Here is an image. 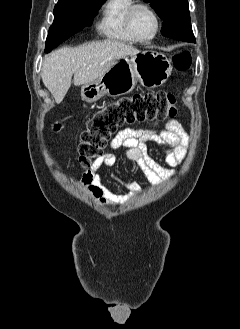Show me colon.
<instances>
[{"label":"colon","mask_w":240,"mask_h":329,"mask_svg":"<svg viewBox=\"0 0 240 329\" xmlns=\"http://www.w3.org/2000/svg\"><path fill=\"white\" fill-rule=\"evenodd\" d=\"M172 63L176 70L186 71L191 67L192 58L189 52L183 51L173 56ZM175 113V97L168 91L136 93L108 104L92 116L81 135L78 145L80 163L90 166L121 127L164 120ZM60 127V124L55 125L56 130Z\"/></svg>","instance_id":"5ec220e1"}]
</instances>
